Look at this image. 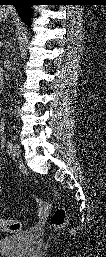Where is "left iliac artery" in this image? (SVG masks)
Instances as JSON below:
<instances>
[{"label":"left iliac artery","instance_id":"44dca946","mask_svg":"<svg viewBox=\"0 0 106 257\" xmlns=\"http://www.w3.org/2000/svg\"><path fill=\"white\" fill-rule=\"evenodd\" d=\"M12 149H13V143H12V141H8V143H7V152H8L9 155L12 154Z\"/></svg>","mask_w":106,"mask_h":257}]
</instances>
